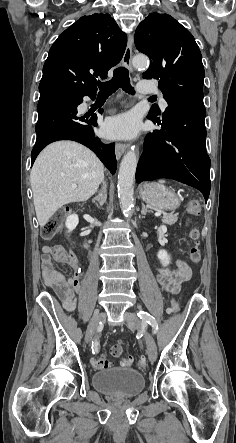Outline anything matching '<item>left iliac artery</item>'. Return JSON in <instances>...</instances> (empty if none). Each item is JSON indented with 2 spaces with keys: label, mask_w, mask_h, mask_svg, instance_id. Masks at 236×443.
<instances>
[{
  "label": "left iliac artery",
  "mask_w": 236,
  "mask_h": 443,
  "mask_svg": "<svg viewBox=\"0 0 236 443\" xmlns=\"http://www.w3.org/2000/svg\"><path fill=\"white\" fill-rule=\"evenodd\" d=\"M138 317L143 321L148 323L151 327H152V333L155 334L158 331V323L156 321V319L150 315L149 313L140 310L137 313Z\"/></svg>",
  "instance_id": "44dca946"
}]
</instances>
